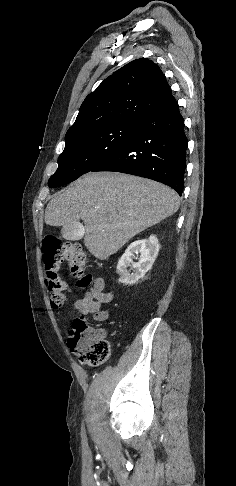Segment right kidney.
I'll return each mask as SVG.
<instances>
[{
	"instance_id": "obj_1",
	"label": "right kidney",
	"mask_w": 236,
	"mask_h": 486,
	"mask_svg": "<svg viewBox=\"0 0 236 486\" xmlns=\"http://www.w3.org/2000/svg\"><path fill=\"white\" fill-rule=\"evenodd\" d=\"M160 249L156 236L151 235L148 239L137 240L131 243L117 264V272L120 275L119 281L125 285H133L143 278L152 268V265ZM138 262H133L135 254H139ZM128 267L133 272L127 270Z\"/></svg>"
}]
</instances>
